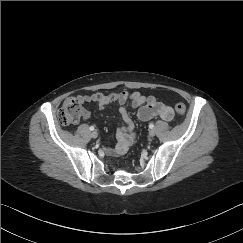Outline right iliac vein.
Returning a JSON list of instances; mask_svg holds the SVG:
<instances>
[{
  "label": "right iliac vein",
  "mask_w": 243,
  "mask_h": 243,
  "mask_svg": "<svg viewBox=\"0 0 243 243\" xmlns=\"http://www.w3.org/2000/svg\"><path fill=\"white\" fill-rule=\"evenodd\" d=\"M91 137L94 138V139L97 138L98 137V133L96 131H93L91 133Z\"/></svg>",
  "instance_id": "1"
}]
</instances>
